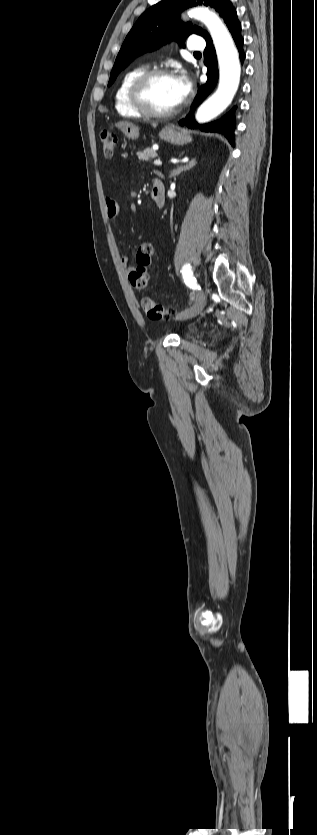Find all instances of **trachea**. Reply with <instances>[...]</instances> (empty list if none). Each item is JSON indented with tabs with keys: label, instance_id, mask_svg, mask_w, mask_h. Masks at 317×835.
I'll list each match as a JSON object with an SVG mask.
<instances>
[{
	"label": "trachea",
	"instance_id": "obj_1",
	"mask_svg": "<svg viewBox=\"0 0 317 835\" xmlns=\"http://www.w3.org/2000/svg\"><path fill=\"white\" fill-rule=\"evenodd\" d=\"M194 54H195V55H200V52H195Z\"/></svg>",
	"mask_w": 317,
	"mask_h": 835
}]
</instances>
